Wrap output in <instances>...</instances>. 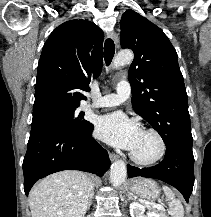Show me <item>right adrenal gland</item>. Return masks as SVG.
Wrapping results in <instances>:
<instances>
[{
	"mask_svg": "<svg viewBox=\"0 0 211 217\" xmlns=\"http://www.w3.org/2000/svg\"><path fill=\"white\" fill-rule=\"evenodd\" d=\"M93 196H94V190H92V192H91V194L89 196V199H88V208H90V206H91V199L93 198Z\"/></svg>",
	"mask_w": 211,
	"mask_h": 217,
	"instance_id": "right-adrenal-gland-1",
	"label": "right adrenal gland"
}]
</instances>
